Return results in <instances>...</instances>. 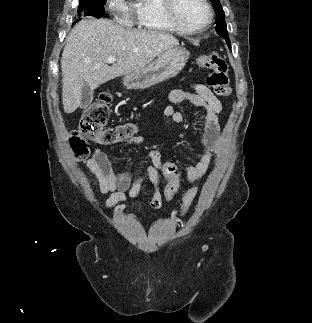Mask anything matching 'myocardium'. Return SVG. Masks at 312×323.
Returning a JSON list of instances; mask_svg holds the SVG:
<instances>
[{
	"mask_svg": "<svg viewBox=\"0 0 312 323\" xmlns=\"http://www.w3.org/2000/svg\"><path fill=\"white\" fill-rule=\"evenodd\" d=\"M177 0H164L162 6V14L164 15L168 25H175L179 27V31H206V27L211 23L213 17H215V10H210L211 5L207 3V0H196L197 7L200 13H205L202 16V20H180L177 12Z\"/></svg>",
	"mask_w": 312,
	"mask_h": 323,
	"instance_id": "f54148a6",
	"label": "myocardium"
}]
</instances>
